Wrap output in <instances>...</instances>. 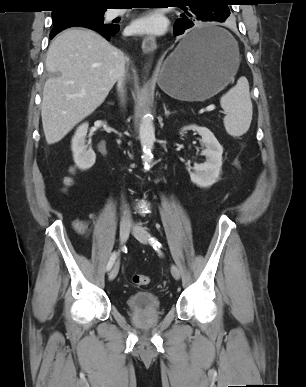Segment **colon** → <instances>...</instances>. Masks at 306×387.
I'll return each mask as SVG.
<instances>
[{"label": "colon", "mask_w": 306, "mask_h": 387, "mask_svg": "<svg viewBox=\"0 0 306 387\" xmlns=\"http://www.w3.org/2000/svg\"><path fill=\"white\" fill-rule=\"evenodd\" d=\"M72 178L71 177H66L65 180H64V184L66 187H69L72 185ZM75 228L78 232H83L85 230V223L81 220H78L76 221L75 223ZM132 282L136 285V286H145L147 284H149L150 282V279L147 275H144V274H135L133 275L132 277Z\"/></svg>", "instance_id": "1"}]
</instances>
